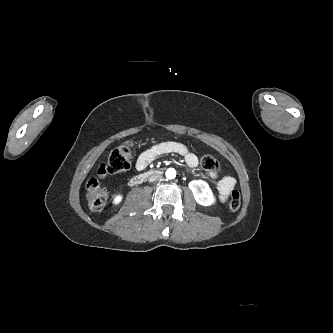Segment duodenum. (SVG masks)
<instances>
[{"instance_id": "obj_1", "label": "duodenum", "mask_w": 333, "mask_h": 333, "mask_svg": "<svg viewBox=\"0 0 333 333\" xmlns=\"http://www.w3.org/2000/svg\"><path fill=\"white\" fill-rule=\"evenodd\" d=\"M161 173H162L161 170H158V169H153V170H150V171L139 173V174L133 176L130 179L129 184L131 186L139 185V184L143 183L144 181H146L150 177L160 176Z\"/></svg>"}]
</instances>
